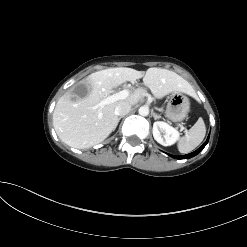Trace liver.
Segmentation results:
<instances>
[{"label":"liver","mask_w":247,"mask_h":247,"mask_svg":"<svg viewBox=\"0 0 247 247\" xmlns=\"http://www.w3.org/2000/svg\"><path fill=\"white\" fill-rule=\"evenodd\" d=\"M143 77V83L155 98H163L170 93L193 95L192 86L173 71L149 68L146 72L132 68H108L90 74L84 83L88 93L85 97L74 98L67 91L58 100L53 112V125L58 137L67 145L90 148L104 141L118 124L116 106L122 102L137 104L145 95L142 88L136 89L126 99L98 107V104L111 93L112 89Z\"/></svg>","instance_id":"1"}]
</instances>
